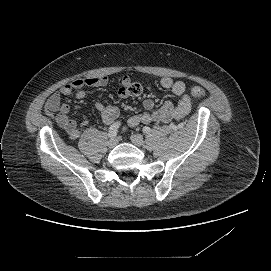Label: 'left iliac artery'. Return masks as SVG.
Returning a JSON list of instances; mask_svg holds the SVG:
<instances>
[{
    "mask_svg": "<svg viewBox=\"0 0 271 271\" xmlns=\"http://www.w3.org/2000/svg\"><path fill=\"white\" fill-rule=\"evenodd\" d=\"M142 131L144 134H149L151 132V129L148 126H145V127H143Z\"/></svg>",
    "mask_w": 271,
    "mask_h": 271,
    "instance_id": "44dca946",
    "label": "left iliac artery"
}]
</instances>
